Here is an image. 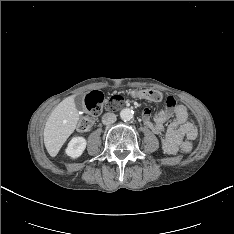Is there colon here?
Returning a JSON list of instances; mask_svg holds the SVG:
<instances>
[{
    "label": "colon",
    "instance_id": "obj_1",
    "mask_svg": "<svg viewBox=\"0 0 234 234\" xmlns=\"http://www.w3.org/2000/svg\"><path fill=\"white\" fill-rule=\"evenodd\" d=\"M133 96L139 99H145L149 101L158 102L162 99V94L157 90H137L133 92ZM124 99L121 95H112L109 98H105L100 92H92L85 98V114L80 119L77 131L86 132L88 131L94 122V118L98 116L103 110L105 111H116L122 108ZM195 149L190 142H184L182 150L189 153Z\"/></svg>",
    "mask_w": 234,
    "mask_h": 234
}]
</instances>
